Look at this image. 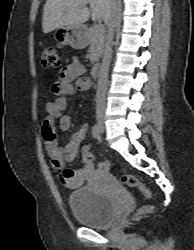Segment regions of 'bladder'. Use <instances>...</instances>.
<instances>
[{
    "label": "bladder",
    "mask_w": 194,
    "mask_h": 250,
    "mask_svg": "<svg viewBox=\"0 0 194 250\" xmlns=\"http://www.w3.org/2000/svg\"><path fill=\"white\" fill-rule=\"evenodd\" d=\"M68 204L73 216L91 228L105 227L116 214L114 199L90 186L70 192Z\"/></svg>",
    "instance_id": "1"
}]
</instances>
